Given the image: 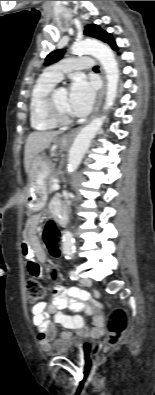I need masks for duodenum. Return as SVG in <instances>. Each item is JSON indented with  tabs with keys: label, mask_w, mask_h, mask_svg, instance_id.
I'll list each match as a JSON object with an SVG mask.
<instances>
[{
	"label": "duodenum",
	"mask_w": 155,
	"mask_h": 395,
	"mask_svg": "<svg viewBox=\"0 0 155 395\" xmlns=\"http://www.w3.org/2000/svg\"><path fill=\"white\" fill-rule=\"evenodd\" d=\"M54 214L58 224L62 225L67 222V213L64 208H59Z\"/></svg>",
	"instance_id": "obj_1"
}]
</instances>
